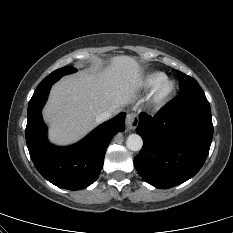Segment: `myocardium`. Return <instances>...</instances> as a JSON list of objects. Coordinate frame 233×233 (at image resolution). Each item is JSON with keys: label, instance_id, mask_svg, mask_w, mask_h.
<instances>
[{"label": "myocardium", "instance_id": "f54148a6", "mask_svg": "<svg viewBox=\"0 0 233 233\" xmlns=\"http://www.w3.org/2000/svg\"><path fill=\"white\" fill-rule=\"evenodd\" d=\"M175 91V83L169 78L163 77L155 86L152 102L155 105L165 102Z\"/></svg>", "mask_w": 233, "mask_h": 233}]
</instances>
